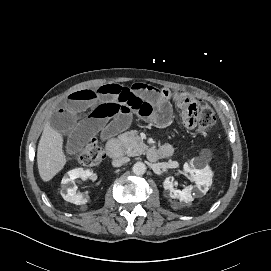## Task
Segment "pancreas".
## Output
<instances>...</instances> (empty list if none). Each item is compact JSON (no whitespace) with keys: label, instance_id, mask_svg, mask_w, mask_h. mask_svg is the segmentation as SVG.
I'll return each instance as SVG.
<instances>
[{"label":"pancreas","instance_id":"cf45deb5","mask_svg":"<svg viewBox=\"0 0 271 271\" xmlns=\"http://www.w3.org/2000/svg\"><path fill=\"white\" fill-rule=\"evenodd\" d=\"M119 140L123 145L124 154L128 156L141 155L146 148L136 131H128L121 134Z\"/></svg>","mask_w":271,"mask_h":271}]
</instances>
